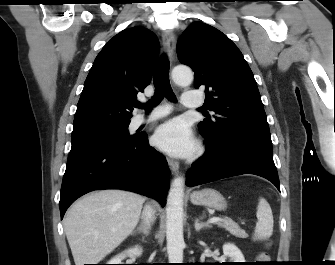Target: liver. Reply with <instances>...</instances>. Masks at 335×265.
I'll use <instances>...</instances> for the list:
<instances>
[{
    "label": "liver",
    "instance_id": "obj_1",
    "mask_svg": "<svg viewBox=\"0 0 335 265\" xmlns=\"http://www.w3.org/2000/svg\"><path fill=\"white\" fill-rule=\"evenodd\" d=\"M144 198L122 190L92 192L74 203L64 231L75 265L97 264L137 226Z\"/></svg>",
    "mask_w": 335,
    "mask_h": 265
}]
</instances>
